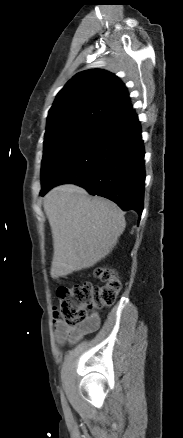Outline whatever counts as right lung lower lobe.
<instances>
[{
  "instance_id": "98d812e1",
  "label": "right lung lower lobe",
  "mask_w": 183,
  "mask_h": 438,
  "mask_svg": "<svg viewBox=\"0 0 183 438\" xmlns=\"http://www.w3.org/2000/svg\"><path fill=\"white\" fill-rule=\"evenodd\" d=\"M73 183L141 216L145 167L141 127L134 110L102 124L75 157L42 188Z\"/></svg>"
}]
</instances>
